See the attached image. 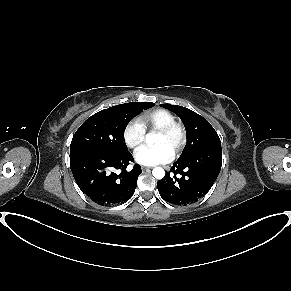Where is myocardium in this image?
Returning <instances> with one entry per match:
<instances>
[{
	"mask_svg": "<svg viewBox=\"0 0 291 291\" xmlns=\"http://www.w3.org/2000/svg\"><path fill=\"white\" fill-rule=\"evenodd\" d=\"M158 133L171 139L174 154H177L183 148L186 141V130L180 122H172L158 129Z\"/></svg>",
	"mask_w": 291,
	"mask_h": 291,
	"instance_id": "obj_1",
	"label": "myocardium"
}]
</instances>
